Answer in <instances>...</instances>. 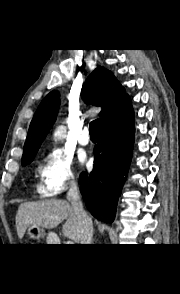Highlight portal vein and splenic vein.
<instances>
[{
  "mask_svg": "<svg viewBox=\"0 0 180 294\" xmlns=\"http://www.w3.org/2000/svg\"><path fill=\"white\" fill-rule=\"evenodd\" d=\"M67 244H74L72 241H68Z\"/></svg>",
  "mask_w": 180,
  "mask_h": 294,
  "instance_id": "18ae733b",
  "label": "portal vein and splenic vein"
}]
</instances>
